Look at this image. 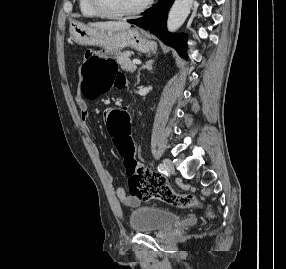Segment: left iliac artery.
Instances as JSON below:
<instances>
[{
	"label": "left iliac artery",
	"mask_w": 286,
	"mask_h": 269,
	"mask_svg": "<svg viewBox=\"0 0 286 269\" xmlns=\"http://www.w3.org/2000/svg\"><path fill=\"white\" fill-rule=\"evenodd\" d=\"M158 171L161 172V173H166L167 172V166L164 165V164H159L158 165Z\"/></svg>",
	"instance_id": "44dca946"
}]
</instances>
